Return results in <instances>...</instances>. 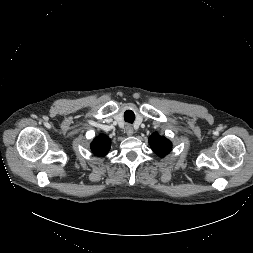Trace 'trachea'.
<instances>
[{
  "label": "trachea",
  "instance_id": "obj_1",
  "mask_svg": "<svg viewBox=\"0 0 253 253\" xmlns=\"http://www.w3.org/2000/svg\"><path fill=\"white\" fill-rule=\"evenodd\" d=\"M124 120L128 123H133L135 120V114L132 110H127L124 113Z\"/></svg>",
  "mask_w": 253,
  "mask_h": 253
}]
</instances>
